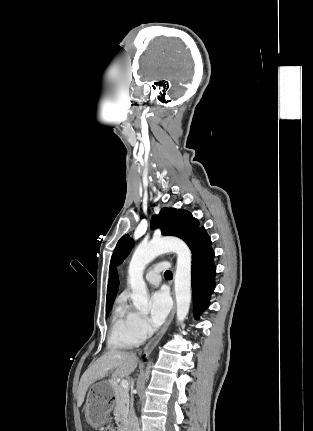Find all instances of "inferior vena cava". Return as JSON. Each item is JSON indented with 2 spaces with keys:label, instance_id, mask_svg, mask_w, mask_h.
Masks as SVG:
<instances>
[{
  "label": "inferior vena cava",
  "instance_id": "obj_1",
  "mask_svg": "<svg viewBox=\"0 0 313 431\" xmlns=\"http://www.w3.org/2000/svg\"><path fill=\"white\" fill-rule=\"evenodd\" d=\"M128 431H140L138 420H137V417L135 416V413L133 410H131V412H130L129 430Z\"/></svg>",
  "mask_w": 313,
  "mask_h": 431
}]
</instances>
